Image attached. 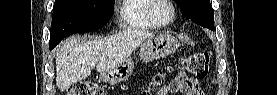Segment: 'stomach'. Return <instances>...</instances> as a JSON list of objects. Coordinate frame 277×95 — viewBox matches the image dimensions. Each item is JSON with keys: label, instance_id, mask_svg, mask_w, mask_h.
Returning a JSON list of instances; mask_svg holds the SVG:
<instances>
[{"label": "stomach", "instance_id": "1", "mask_svg": "<svg viewBox=\"0 0 277 95\" xmlns=\"http://www.w3.org/2000/svg\"><path fill=\"white\" fill-rule=\"evenodd\" d=\"M178 47V40L171 35L160 34L143 42L139 52L142 62H151L172 54ZM132 60L127 59L114 69L104 72L102 80L109 84H117L126 81L133 71Z\"/></svg>", "mask_w": 277, "mask_h": 95}]
</instances>
